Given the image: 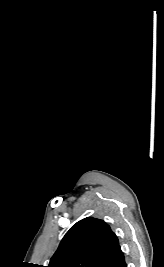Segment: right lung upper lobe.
<instances>
[{
  "instance_id": "obj_1",
  "label": "right lung upper lobe",
  "mask_w": 164,
  "mask_h": 267,
  "mask_svg": "<svg viewBox=\"0 0 164 267\" xmlns=\"http://www.w3.org/2000/svg\"><path fill=\"white\" fill-rule=\"evenodd\" d=\"M119 250L109 225L88 217L66 233L48 267H99Z\"/></svg>"
}]
</instances>
